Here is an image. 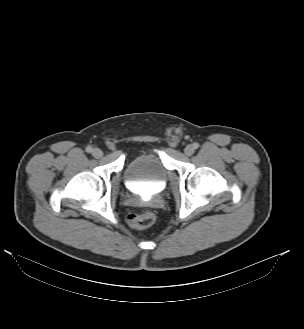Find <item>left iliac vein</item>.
Segmentation results:
<instances>
[{
    "label": "left iliac vein",
    "mask_w": 304,
    "mask_h": 329,
    "mask_svg": "<svg viewBox=\"0 0 304 329\" xmlns=\"http://www.w3.org/2000/svg\"><path fill=\"white\" fill-rule=\"evenodd\" d=\"M185 155L191 156L194 153V147L192 145H187L184 149Z\"/></svg>",
    "instance_id": "obj_1"
}]
</instances>
